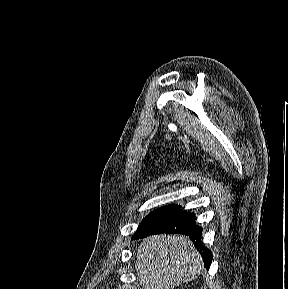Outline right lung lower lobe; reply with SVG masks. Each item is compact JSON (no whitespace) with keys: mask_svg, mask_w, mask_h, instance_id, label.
Returning a JSON list of instances; mask_svg holds the SVG:
<instances>
[{"mask_svg":"<svg viewBox=\"0 0 288 289\" xmlns=\"http://www.w3.org/2000/svg\"><path fill=\"white\" fill-rule=\"evenodd\" d=\"M194 214L184 211L176 205L171 210L155 219L142 230L138 231L133 238L140 239L153 234L180 233L188 235L197 249L200 251L206 268H209L212 253L201 244L202 228L195 224Z\"/></svg>","mask_w":288,"mask_h":289,"instance_id":"1","label":"right lung lower lobe"}]
</instances>
